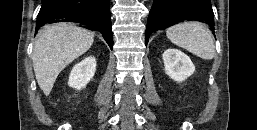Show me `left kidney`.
I'll use <instances>...</instances> for the list:
<instances>
[{
  "mask_svg": "<svg viewBox=\"0 0 257 130\" xmlns=\"http://www.w3.org/2000/svg\"><path fill=\"white\" fill-rule=\"evenodd\" d=\"M162 58L166 74L174 81L182 82L195 72L190 58L178 49H167Z\"/></svg>",
  "mask_w": 257,
  "mask_h": 130,
  "instance_id": "left-kidney-1",
  "label": "left kidney"
}]
</instances>
